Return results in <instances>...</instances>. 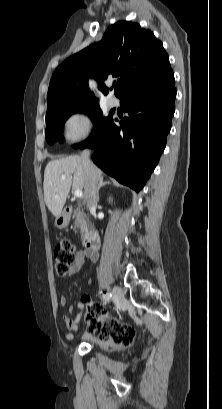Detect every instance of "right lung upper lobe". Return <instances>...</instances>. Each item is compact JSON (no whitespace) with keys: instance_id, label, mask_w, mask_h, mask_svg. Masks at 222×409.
I'll return each mask as SVG.
<instances>
[{"instance_id":"right-lung-upper-lobe-1","label":"right lung upper lobe","mask_w":222,"mask_h":409,"mask_svg":"<svg viewBox=\"0 0 222 409\" xmlns=\"http://www.w3.org/2000/svg\"><path fill=\"white\" fill-rule=\"evenodd\" d=\"M172 72L161 41L139 24L118 21L102 40L72 55L57 67L50 80L47 111L72 104L98 102L90 92L93 77L106 95L104 81L119 77L115 94L119 99L159 86L157 77Z\"/></svg>"}]
</instances>
